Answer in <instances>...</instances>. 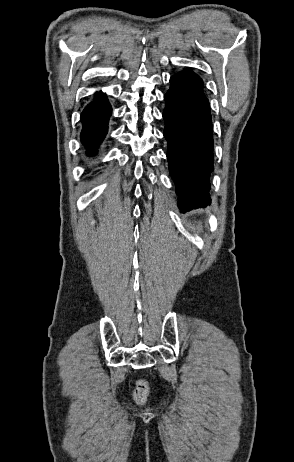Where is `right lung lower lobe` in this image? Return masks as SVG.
Segmentation results:
<instances>
[{"instance_id": "98d812e1", "label": "right lung lower lobe", "mask_w": 294, "mask_h": 462, "mask_svg": "<svg viewBox=\"0 0 294 462\" xmlns=\"http://www.w3.org/2000/svg\"><path fill=\"white\" fill-rule=\"evenodd\" d=\"M112 109L106 95L99 92L92 103L87 105L81 114L83 129L81 141L87 148L89 156L94 155L97 146L107 134L108 120Z\"/></svg>"}]
</instances>
